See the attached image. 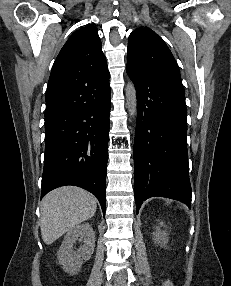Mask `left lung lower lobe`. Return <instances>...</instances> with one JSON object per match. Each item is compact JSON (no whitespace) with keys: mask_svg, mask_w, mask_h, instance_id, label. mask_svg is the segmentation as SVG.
Here are the masks:
<instances>
[{"mask_svg":"<svg viewBox=\"0 0 231 286\" xmlns=\"http://www.w3.org/2000/svg\"><path fill=\"white\" fill-rule=\"evenodd\" d=\"M137 95L134 193L137 212L153 196L190 207L187 109L182 85L148 77L127 66Z\"/></svg>","mask_w":231,"mask_h":286,"instance_id":"1","label":"left lung lower lobe"}]
</instances>
